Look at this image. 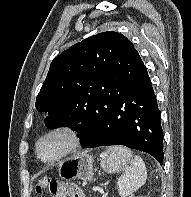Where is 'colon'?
<instances>
[{"label":"colon","instance_id":"obj_1","mask_svg":"<svg viewBox=\"0 0 191 197\" xmlns=\"http://www.w3.org/2000/svg\"><path fill=\"white\" fill-rule=\"evenodd\" d=\"M46 191H49L52 194H58L60 192V188L54 179L44 176L38 179L36 192L43 193Z\"/></svg>","mask_w":191,"mask_h":197}]
</instances>
